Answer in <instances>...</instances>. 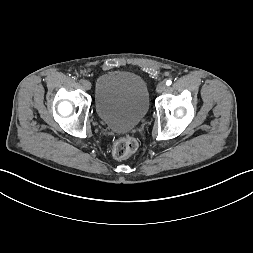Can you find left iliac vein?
Here are the masks:
<instances>
[{"mask_svg": "<svg viewBox=\"0 0 253 253\" xmlns=\"http://www.w3.org/2000/svg\"><path fill=\"white\" fill-rule=\"evenodd\" d=\"M166 88H167L166 83H165L164 81H162V82H159V83H158L157 88H156V91H157L158 93H162V92H164V91L166 90Z\"/></svg>", "mask_w": 253, "mask_h": 253, "instance_id": "left-iliac-vein-1", "label": "left iliac vein"}]
</instances>
